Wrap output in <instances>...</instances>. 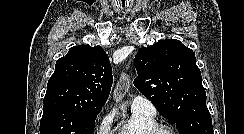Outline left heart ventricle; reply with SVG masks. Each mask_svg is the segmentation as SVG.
<instances>
[{
  "mask_svg": "<svg viewBox=\"0 0 244 134\" xmlns=\"http://www.w3.org/2000/svg\"><path fill=\"white\" fill-rule=\"evenodd\" d=\"M159 134H170V133L167 131H161Z\"/></svg>",
  "mask_w": 244,
  "mask_h": 134,
  "instance_id": "1",
  "label": "left heart ventricle"
}]
</instances>
